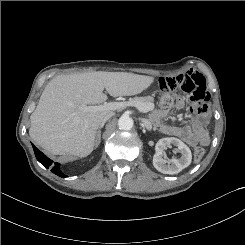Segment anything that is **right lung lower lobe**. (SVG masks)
<instances>
[{
	"label": "right lung lower lobe",
	"instance_id": "1",
	"mask_svg": "<svg viewBox=\"0 0 245 245\" xmlns=\"http://www.w3.org/2000/svg\"><path fill=\"white\" fill-rule=\"evenodd\" d=\"M33 149H34V153L35 156L37 158V160L46 168H50L51 172H53L54 174H56L57 176L60 177H66V175L64 173H62V171L60 170V164L59 163H53L52 160H50L48 157H46L41 151H39L33 144Z\"/></svg>",
	"mask_w": 245,
	"mask_h": 245
}]
</instances>
